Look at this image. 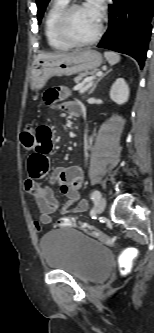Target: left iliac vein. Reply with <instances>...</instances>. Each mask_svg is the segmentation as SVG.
<instances>
[{"instance_id":"left-iliac-vein-1","label":"left iliac vein","mask_w":154,"mask_h":333,"mask_svg":"<svg viewBox=\"0 0 154 333\" xmlns=\"http://www.w3.org/2000/svg\"><path fill=\"white\" fill-rule=\"evenodd\" d=\"M105 206H106V200H105V198L102 197L99 199V201L97 203L96 212L98 214H101L104 211Z\"/></svg>"}]
</instances>
